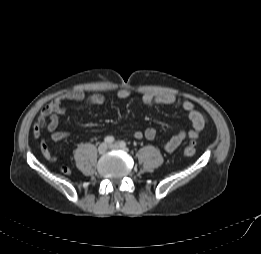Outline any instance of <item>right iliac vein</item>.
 Returning <instances> with one entry per match:
<instances>
[{"mask_svg": "<svg viewBox=\"0 0 261 254\" xmlns=\"http://www.w3.org/2000/svg\"><path fill=\"white\" fill-rule=\"evenodd\" d=\"M107 149H108L107 144H106V143H102V144H100L99 147H98V153L101 154V155H102V154H105L106 151H107Z\"/></svg>", "mask_w": 261, "mask_h": 254, "instance_id": "1", "label": "right iliac vein"}]
</instances>
